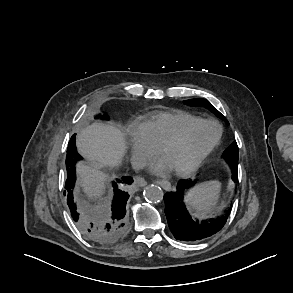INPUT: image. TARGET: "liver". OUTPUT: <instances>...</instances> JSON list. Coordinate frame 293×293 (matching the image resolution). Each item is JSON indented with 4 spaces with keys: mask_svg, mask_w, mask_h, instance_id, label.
Wrapping results in <instances>:
<instances>
[{
    "mask_svg": "<svg viewBox=\"0 0 293 293\" xmlns=\"http://www.w3.org/2000/svg\"><path fill=\"white\" fill-rule=\"evenodd\" d=\"M76 146L91 163L79 162L76 165L79 185L89 197H99L104 192L107 179L100 168L120 164L126 149L124 135L112 125L93 123L78 133Z\"/></svg>",
    "mask_w": 293,
    "mask_h": 293,
    "instance_id": "obj_1",
    "label": "liver"
}]
</instances>
